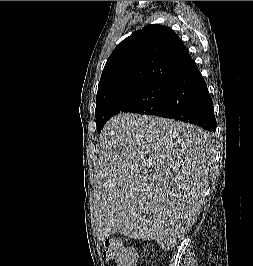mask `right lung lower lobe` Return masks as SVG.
<instances>
[{
  "mask_svg": "<svg viewBox=\"0 0 253 266\" xmlns=\"http://www.w3.org/2000/svg\"><path fill=\"white\" fill-rule=\"evenodd\" d=\"M158 116L216 131L213 102L196 64L171 81L164 110Z\"/></svg>",
  "mask_w": 253,
  "mask_h": 266,
  "instance_id": "obj_1",
  "label": "right lung lower lobe"
}]
</instances>
